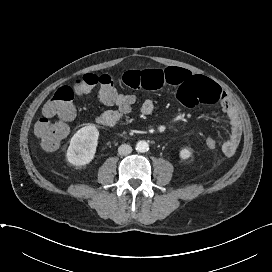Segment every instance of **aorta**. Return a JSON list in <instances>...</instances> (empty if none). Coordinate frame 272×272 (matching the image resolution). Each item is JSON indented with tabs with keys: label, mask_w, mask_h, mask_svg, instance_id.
Instances as JSON below:
<instances>
[{
	"label": "aorta",
	"mask_w": 272,
	"mask_h": 272,
	"mask_svg": "<svg viewBox=\"0 0 272 272\" xmlns=\"http://www.w3.org/2000/svg\"><path fill=\"white\" fill-rule=\"evenodd\" d=\"M136 150L138 152H147L149 150V145L146 141L141 140L136 144Z\"/></svg>",
	"instance_id": "obj_1"
}]
</instances>
